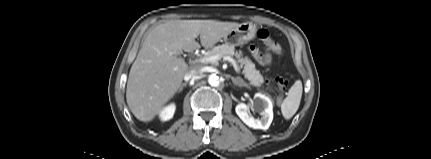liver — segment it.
<instances>
[{
  "label": "liver",
  "instance_id": "1",
  "mask_svg": "<svg viewBox=\"0 0 431 159\" xmlns=\"http://www.w3.org/2000/svg\"><path fill=\"white\" fill-rule=\"evenodd\" d=\"M239 23L216 20H169L152 29L130 69L126 100L130 111L140 121L149 122L160 113L175 95L186 73L197 66H188L179 57L182 50L200 48L220 41Z\"/></svg>",
  "mask_w": 431,
  "mask_h": 159
}]
</instances>
